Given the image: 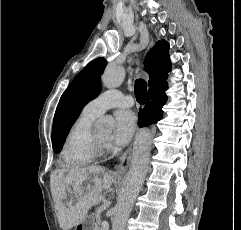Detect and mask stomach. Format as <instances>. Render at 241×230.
<instances>
[{
	"label": "stomach",
	"instance_id": "stomach-1",
	"mask_svg": "<svg viewBox=\"0 0 241 230\" xmlns=\"http://www.w3.org/2000/svg\"><path fill=\"white\" fill-rule=\"evenodd\" d=\"M94 227V220L86 217L80 224L76 226L75 230H94Z\"/></svg>",
	"mask_w": 241,
	"mask_h": 230
}]
</instances>
